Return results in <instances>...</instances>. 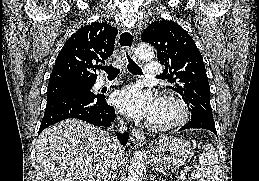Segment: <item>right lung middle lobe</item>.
I'll return each instance as SVG.
<instances>
[{"instance_id": "obj_1", "label": "right lung middle lobe", "mask_w": 259, "mask_h": 181, "mask_svg": "<svg viewBox=\"0 0 259 181\" xmlns=\"http://www.w3.org/2000/svg\"><path fill=\"white\" fill-rule=\"evenodd\" d=\"M93 83H63L48 86L47 103L66 95L88 94L95 96L90 90Z\"/></svg>"}]
</instances>
